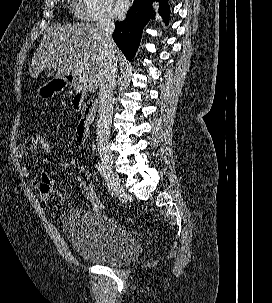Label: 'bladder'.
<instances>
[{"label": "bladder", "mask_w": 272, "mask_h": 303, "mask_svg": "<svg viewBox=\"0 0 272 303\" xmlns=\"http://www.w3.org/2000/svg\"><path fill=\"white\" fill-rule=\"evenodd\" d=\"M62 229L75 253L89 262L121 266L134 261L140 253L133 234L92 210H66Z\"/></svg>", "instance_id": "bladder-1"}]
</instances>
